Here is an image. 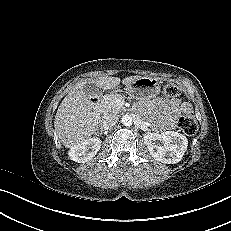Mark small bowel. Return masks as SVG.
Wrapping results in <instances>:
<instances>
[{
  "label": "small bowel",
  "mask_w": 231,
  "mask_h": 231,
  "mask_svg": "<svg viewBox=\"0 0 231 231\" xmlns=\"http://www.w3.org/2000/svg\"><path fill=\"white\" fill-rule=\"evenodd\" d=\"M147 109L159 130H169L174 127L177 117L181 113L190 112L191 107L179 99L156 98L148 103Z\"/></svg>",
  "instance_id": "1"
}]
</instances>
